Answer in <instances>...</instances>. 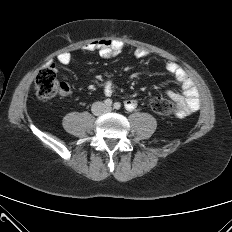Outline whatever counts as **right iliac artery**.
Returning a JSON list of instances; mask_svg holds the SVG:
<instances>
[{"label":"right iliac artery","instance_id":"right-iliac-artery-1","mask_svg":"<svg viewBox=\"0 0 232 232\" xmlns=\"http://www.w3.org/2000/svg\"><path fill=\"white\" fill-rule=\"evenodd\" d=\"M104 104L106 105V106H111L112 105V100L111 99H106L105 101H104Z\"/></svg>","mask_w":232,"mask_h":232}]
</instances>
